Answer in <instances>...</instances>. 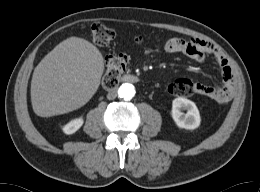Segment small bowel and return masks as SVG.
<instances>
[{
    "label": "small bowel",
    "mask_w": 260,
    "mask_h": 192,
    "mask_svg": "<svg viewBox=\"0 0 260 192\" xmlns=\"http://www.w3.org/2000/svg\"><path fill=\"white\" fill-rule=\"evenodd\" d=\"M164 50L171 54H183L197 62L204 61L207 55L212 56L220 67L223 83L218 87L195 83V93L211 98L222 104L231 101L236 88L235 79L227 59L214 44L198 38H171L165 43ZM152 52V49L145 50V54Z\"/></svg>",
    "instance_id": "obj_1"
}]
</instances>
